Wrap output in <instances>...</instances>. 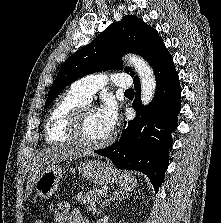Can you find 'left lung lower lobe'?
Listing matches in <instances>:
<instances>
[{
	"label": "left lung lower lobe",
	"instance_id": "left-lung-lower-lobe-1",
	"mask_svg": "<svg viewBox=\"0 0 221 223\" xmlns=\"http://www.w3.org/2000/svg\"><path fill=\"white\" fill-rule=\"evenodd\" d=\"M153 71L157 86L151 103L146 108L141 107L140 82L134 81L136 100L133 107L137 116L126 123L119 141L94 152L111 159L119 169L146 174L157 192L169 163L171 133L177 128V115L181 109V88L167 49L154 64Z\"/></svg>",
	"mask_w": 221,
	"mask_h": 223
}]
</instances>
